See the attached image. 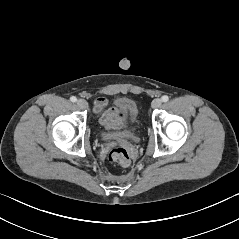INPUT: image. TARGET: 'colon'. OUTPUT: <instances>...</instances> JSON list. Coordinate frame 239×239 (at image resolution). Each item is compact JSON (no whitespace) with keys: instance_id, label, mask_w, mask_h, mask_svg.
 <instances>
[{"instance_id":"obj_1","label":"colon","mask_w":239,"mask_h":239,"mask_svg":"<svg viewBox=\"0 0 239 239\" xmlns=\"http://www.w3.org/2000/svg\"><path fill=\"white\" fill-rule=\"evenodd\" d=\"M108 158L111 162L117 163L123 167L128 166L130 163V154L124 147L113 148Z\"/></svg>"}]
</instances>
